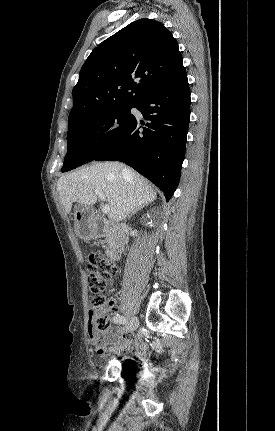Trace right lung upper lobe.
I'll return each instance as SVG.
<instances>
[{"label": "right lung upper lobe", "mask_w": 275, "mask_h": 431, "mask_svg": "<svg viewBox=\"0 0 275 431\" xmlns=\"http://www.w3.org/2000/svg\"><path fill=\"white\" fill-rule=\"evenodd\" d=\"M184 69L178 44L161 22H132L103 41L83 64L68 123L112 106H136Z\"/></svg>", "instance_id": "right-lung-upper-lobe-1"}]
</instances>
